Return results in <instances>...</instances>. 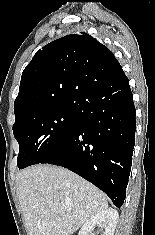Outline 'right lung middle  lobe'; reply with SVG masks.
<instances>
[{
    "label": "right lung middle lobe",
    "instance_id": "dd1d6c3e",
    "mask_svg": "<svg viewBox=\"0 0 155 235\" xmlns=\"http://www.w3.org/2000/svg\"><path fill=\"white\" fill-rule=\"evenodd\" d=\"M15 119L13 133L19 143V169L38 164L65 143L79 127L77 106L40 107Z\"/></svg>",
    "mask_w": 155,
    "mask_h": 235
}]
</instances>
